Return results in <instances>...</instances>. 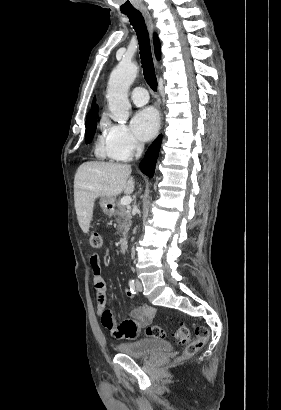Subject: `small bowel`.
<instances>
[{
  "mask_svg": "<svg viewBox=\"0 0 281 410\" xmlns=\"http://www.w3.org/2000/svg\"><path fill=\"white\" fill-rule=\"evenodd\" d=\"M89 264L92 273L94 292L98 307V315L100 316L105 329L116 339L135 340L139 330L153 320L156 310L150 305H143L134 309V318L116 321L111 315L106 317L107 304V289L106 283L102 276L100 257L97 254H92L89 259ZM124 294L128 298L134 297L131 289L126 288Z\"/></svg>",
  "mask_w": 281,
  "mask_h": 410,
  "instance_id": "small-bowel-1",
  "label": "small bowel"
}]
</instances>
